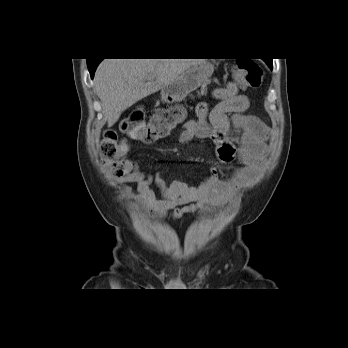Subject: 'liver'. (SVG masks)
Returning <instances> with one entry per match:
<instances>
[{"label": "liver", "instance_id": "1", "mask_svg": "<svg viewBox=\"0 0 348 348\" xmlns=\"http://www.w3.org/2000/svg\"><path fill=\"white\" fill-rule=\"evenodd\" d=\"M200 59H104L96 69L94 87L104 118L113 126L137 101L173 82Z\"/></svg>", "mask_w": 348, "mask_h": 348}]
</instances>
